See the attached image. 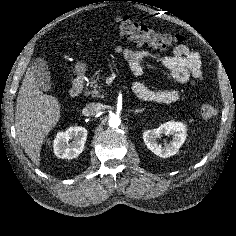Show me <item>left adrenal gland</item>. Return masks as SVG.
<instances>
[{
	"label": "left adrenal gland",
	"instance_id": "a2214340",
	"mask_svg": "<svg viewBox=\"0 0 236 236\" xmlns=\"http://www.w3.org/2000/svg\"><path fill=\"white\" fill-rule=\"evenodd\" d=\"M143 111H144V109H137L136 111H134V114L137 115L138 113H141Z\"/></svg>",
	"mask_w": 236,
	"mask_h": 236
}]
</instances>
